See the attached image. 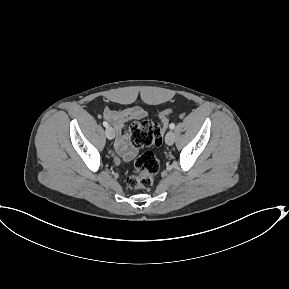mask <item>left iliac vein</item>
Returning <instances> with one entry per match:
<instances>
[{
	"label": "left iliac vein",
	"instance_id": "4c4485c4",
	"mask_svg": "<svg viewBox=\"0 0 289 289\" xmlns=\"http://www.w3.org/2000/svg\"><path fill=\"white\" fill-rule=\"evenodd\" d=\"M175 140V135L173 133V131H168L166 136H165V142L168 145H172L174 143Z\"/></svg>",
	"mask_w": 289,
	"mask_h": 289
}]
</instances>
